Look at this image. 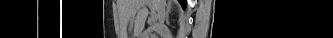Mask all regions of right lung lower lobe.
Returning <instances> with one entry per match:
<instances>
[{
  "instance_id": "right-lung-lower-lobe-1",
  "label": "right lung lower lobe",
  "mask_w": 333,
  "mask_h": 38,
  "mask_svg": "<svg viewBox=\"0 0 333 38\" xmlns=\"http://www.w3.org/2000/svg\"><path fill=\"white\" fill-rule=\"evenodd\" d=\"M180 2H182V4L184 5V7H185V1H183V0H180Z\"/></svg>"
}]
</instances>
